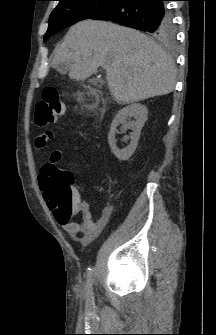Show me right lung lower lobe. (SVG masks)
<instances>
[{
	"instance_id": "obj_1",
	"label": "right lung lower lobe",
	"mask_w": 216,
	"mask_h": 335,
	"mask_svg": "<svg viewBox=\"0 0 216 335\" xmlns=\"http://www.w3.org/2000/svg\"><path fill=\"white\" fill-rule=\"evenodd\" d=\"M164 1L116 0L92 19L116 22L155 36L172 25Z\"/></svg>"
}]
</instances>
